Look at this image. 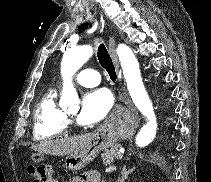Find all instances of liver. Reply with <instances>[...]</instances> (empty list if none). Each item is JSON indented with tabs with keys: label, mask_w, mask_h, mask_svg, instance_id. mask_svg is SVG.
I'll return each mask as SVG.
<instances>
[{
	"label": "liver",
	"mask_w": 211,
	"mask_h": 182,
	"mask_svg": "<svg viewBox=\"0 0 211 182\" xmlns=\"http://www.w3.org/2000/svg\"><path fill=\"white\" fill-rule=\"evenodd\" d=\"M92 136L93 133H88L66 139L49 140L33 145L32 149L40 154L70 155L83 149L89 143Z\"/></svg>",
	"instance_id": "liver-1"
}]
</instances>
